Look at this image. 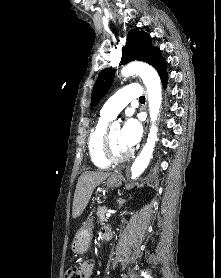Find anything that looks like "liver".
<instances>
[{
  "instance_id": "obj_1",
  "label": "liver",
  "mask_w": 221,
  "mask_h": 278,
  "mask_svg": "<svg viewBox=\"0 0 221 278\" xmlns=\"http://www.w3.org/2000/svg\"><path fill=\"white\" fill-rule=\"evenodd\" d=\"M110 176L102 171H86L78 179L72 207L73 218L79 217L86 208L94 189Z\"/></svg>"
}]
</instances>
